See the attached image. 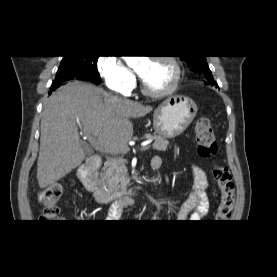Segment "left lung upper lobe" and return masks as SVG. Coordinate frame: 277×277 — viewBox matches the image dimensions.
<instances>
[{
    "instance_id": "5c2ea615",
    "label": "left lung upper lobe",
    "mask_w": 277,
    "mask_h": 277,
    "mask_svg": "<svg viewBox=\"0 0 277 277\" xmlns=\"http://www.w3.org/2000/svg\"><path fill=\"white\" fill-rule=\"evenodd\" d=\"M185 60L195 72L202 74L211 85H217L212 77L211 70L207 64L205 56H180Z\"/></svg>"
}]
</instances>
